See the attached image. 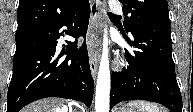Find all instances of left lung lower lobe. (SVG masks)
I'll return each mask as SVG.
<instances>
[{
  "mask_svg": "<svg viewBox=\"0 0 193 112\" xmlns=\"http://www.w3.org/2000/svg\"><path fill=\"white\" fill-rule=\"evenodd\" d=\"M124 38L136 50H126L127 69L112 73L110 108L121 101L148 100L164 105L171 112H182L171 54L170 22L136 28Z\"/></svg>",
  "mask_w": 193,
  "mask_h": 112,
  "instance_id": "1",
  "label": "left lung lower lobe"
}]
</instances>
